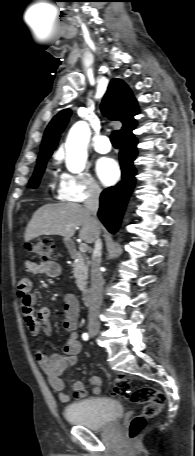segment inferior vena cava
Segmentation results:
<instances>
[{"mask_svg": "<svg viewBox=\"0 0 195 456\" xmlns=\"http://www.w3.org/2000/svg\"><path fill=\"white\" fill-rule=\"evenodd\" d=\"M101 189L98 186H93L90 189L88 198L84 202V207L91 215V221L98 225L97 211L99 209V197ZM102 241L97 235L95 239L94 251L91 258V301L89 306V326L99 327V311L102 304L103 278L100 273Z\"/></svg>", "mask_w": 195, "mask_h": 456, "instance_id": "obj_1", "label": "inferior vena cava"}]
</instances>
